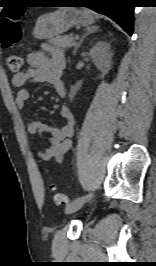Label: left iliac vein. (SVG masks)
I'll list each match as a JSON object with an SVG mask.
<instances>
[{
    "label": "left iliac vein",
    "mask_w": 156,
    "mask_h": 266,
    "mask_svg": "<svg viewBox=\"0 0 156 266\" xmlns=\"http://www.w3.org/2000/svg\"><path fill=\"white\" fill-rule=\"evenodd\" d=\"M91 198H89L88 200H85L84 203H79L78 200L76 201H72L71 203H69L66 208H65V212L67 214L73 213L77 210H79L87 201H89Z\"/></svg>",
    "instance_id": "left-iliac-vein-1"
}]
</instances>
